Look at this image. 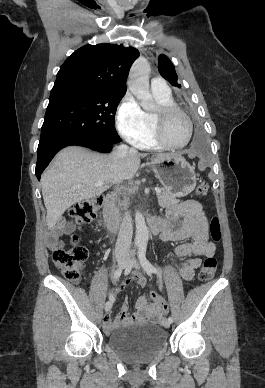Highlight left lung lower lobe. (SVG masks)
I'll return each mask as SVG.
<instances>
[{"instance_id": "1", "label": "left lung lower lobe", "mask_w": 265, "mask_h": 388, "mask_svg": "<svg viewBox=\"0 0 265 388\" xmlns=\"http://www.w3.org/2000/svg\"><path fill=\"white\" fill-rule=\"evenodd\" d=\"M191 148L198 153L206 152V142L200 130L195 134Z\"/></svg>"}]
</instances>
